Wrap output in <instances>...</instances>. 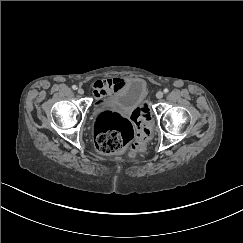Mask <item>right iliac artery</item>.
I'll return each instance as SVG.
<instances>
[{"instance_id": "82829eb1", "label": "right iliac artery", "mask_w": 243, "mask_h": 243, "mask_svg": "<svg viewBox=\"0 0 243 243\" xmlns=\"http://www.w3.org/2000/svg\"><path fill=\"white\" fill-rule=\"evenodd\" d=\"M72 88H73L74 90H76V89H77V86H76V85H73Z\"/></svg>"}]
</instances>
